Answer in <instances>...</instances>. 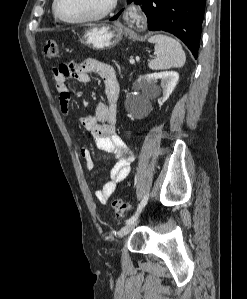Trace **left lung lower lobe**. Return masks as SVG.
<instances>
[{"label":"left lung lower lobe","instance_id":"obj_1","mask_svg":"<svg viewBox=\"0 0 247 299\" xmlns=\"http://www.w3.org/2000/svg\"><path fill=\"white\" fill-rule=\"evenodd\" d=\"M142 5L151 31H166L178 37L198 55L206 0H133ZM121 12L110 20L118 18Z\"/></svg>","mask_w":247,"mask_h":299}]
</instances>
